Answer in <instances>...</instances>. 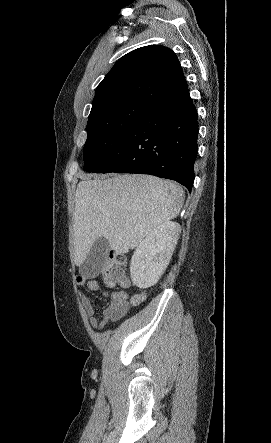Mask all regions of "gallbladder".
I'll use <instances>...</instances> for the list:
<instances>
[{"label":"gallbladder","mask_w":271,"mask_h":443,"mask_svg":"<svg viewBox=\"0 0 271 443\" xmlns=\"http://www.w3.org/2000/svg\"><path fill=\"white\" fill-rule=\"evenodd\" d=\"M110 243L106 237H98L93 243L86 259L79 265V271L83 278H96L97 273H103L106 261L109 260Z\"/></svg>","instance_id":"1"}]
</instances>
